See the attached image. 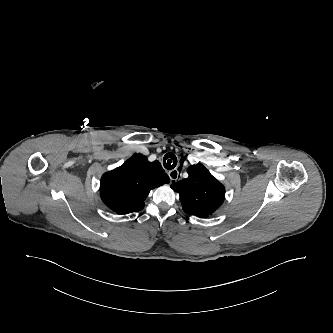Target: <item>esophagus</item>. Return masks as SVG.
Returning a JSON list of instances; mask_svg holds the SVG:
<instances>
[{
  "label": "esophagus",
  "instance_id": "34e87169",
  "mask_svg": "<svg viewBox=\"0 0 333 333\" xmlns=\"http://www.w3.org/2000/svg\"><path fill=\"white\" fill-rule=\"evenodd\" d=\"M179 167L169 171L168 175L170 177L171 182H177L181 179V173L179 172Z\"/></svg>",
  "mask_w": 333,
  "mask_h": 333
}]
</instances>
